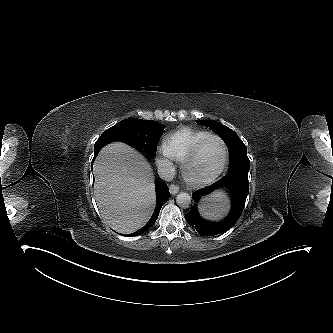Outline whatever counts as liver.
<instances>
[{"label":"liver","instance_id":"liver-1","mask_svg":"<svg viewBox=\"0 0 333 333\" xmlns=\"http://www.w3.org/2000/svg\"><path fill=\"white\" fill-rule=\"evenodd\" d=\"M95 199L102 218L128 234L150 219L156 202L153 173L146 159L121 143L105 146L93 167Z\"/></svg>","mask_w":333,"mask_h":333}]
</instances>
